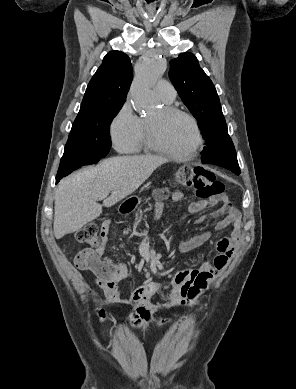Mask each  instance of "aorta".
<instances>
[{"instance_id":"aorta-1","label":"aorta","mask_w":296,"mask_h":389,"mask_svg":"<svg viewBox=\"0 0 296 389\" xmlns=\"http://www.w3.org/2000/svg\"><path fill=\"white\" fill-rule=\"evenodd\" d=\"M166 68V60L158 54L152 53L136 69L130 90L131 99L136 109L146 110L156 103L152 87L164 74Z\"/></svg>"}]
</instances>
